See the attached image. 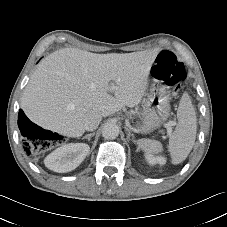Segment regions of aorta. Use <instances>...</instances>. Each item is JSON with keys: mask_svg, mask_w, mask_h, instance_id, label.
<instances>
[{"mask_svg": "<svg viewBox=\"0 0 227 227\" xmlns=\"http://www.w3.org/2000/svg\"><path fill=\"white\" fill-rule=\"evenodd\" d=\"M120 133V128L115 123H106L102 128V136L105 139H115Z\"/></svg>", "mask_w": 227, "mask_h": 227, "instance_id": "obj_1", "label": "aorta"}]
</instances>
